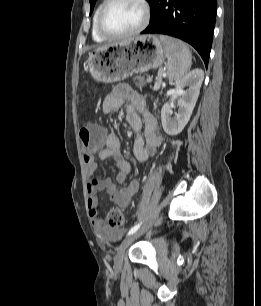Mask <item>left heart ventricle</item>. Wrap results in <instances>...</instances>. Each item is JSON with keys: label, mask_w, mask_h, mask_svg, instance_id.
I'll list each match as a JSON object with an SVG mask.
<instances>
[{"label": "left heart ventricle", "mask_w": 261, "mask_h": 306, "mask_svg": "<svg viewBox=\"0 0 261 306\" xmlns=\"http://www.w3.org/2000/svg\"><path fill=\"white\" fill-rule=\"evenodd\" d=\"M143 19V9L135 0H120L111 6L105 17V26L114 33H128Z\"/></svg>", "instance_id": "1"}]
</instances>
